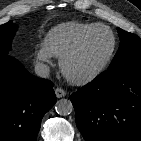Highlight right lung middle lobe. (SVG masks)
<instances>
[{
    "label": "right lung middle lobe",
    "instance_id": "obj_1",
    "mask_svg": "<svg viewBox=\"0 0 141 141\" xmlns=\"http://www.w3.org/2000/svg\"><path fill=\"white\" fill-rule=\"evenodd\" d=\"M17 26L9 21L0 25V55L8 54L11 46V40L16 32Z\"/></svg>",
    "mask_w": 141,
    "mask_h": 141
}]
</instances>
